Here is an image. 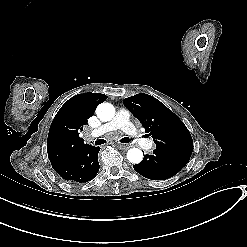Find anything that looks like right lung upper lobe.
<instances>
[{
	"mask_svg": "<svg viewBox=\"0 0 247 247\" xmlns=\"http://www.w3.org/2000/svg\"><path fill=\"white\" fill-rule=\"evenodd\" d=\"M107 96L100 93L77 94L64 103L55 115L47 139L48 157L53 168L62 166L87 147L79 132L98 104Z\"/></svg>",
	"mask_w": 247,
	"mask_h": 247,
	"instance_id": "1",
	"label": "right lung upper lobe"
}]
</instances>
